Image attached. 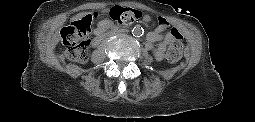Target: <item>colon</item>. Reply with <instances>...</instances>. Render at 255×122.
Returning a JSON list of instances; mask_svg holds the SVG:
<instances>
[{
	"label": "colon",
	"mask_w": 255,
	"mask_h": 122,
	"mask_svg": "<svg viewBox=\"0 0 255 122\" xmlns=\"http://www.w3.org/2000/svg\"><path fill=\"white\" fill-rule=\"evenodd\" d=\"M99 17L98 12L87 14L64 29L62 37L70 59L78 62H83L86 59L87 40L91 26ZM109 17L119 24L128 25L140 20L142 13L130 8L115 7L109 11ZM172 33L176 40L170 44L166 57L168 61L176 62L181 59L183 54L182 36L176 29H172Z\"/></svg>",
	"instance_id": "colon-1"
}]
</instances>
